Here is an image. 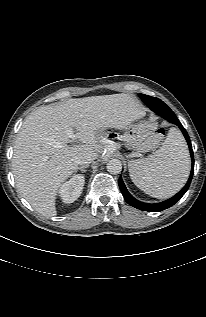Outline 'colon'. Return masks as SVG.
Returning a JSON list of instances; mask_svg holds the SVG:
<instances>
[{"mask_svg": "<svg viewBox=\"0 0 206 317\" xmlns=\"http://www.w3.org/2000/svg\"><path fill=\"white\" fill-rule=\"evenodd\" d=\"M154 129V138L156 139V140H160L163 136H164V134H165V131H164V129H162V128H153Z\"/></svg>", "mask_w": 206, "mask_h": 317, "instance_id": "5ec220e1", "label": "colon"}]
</instances>
